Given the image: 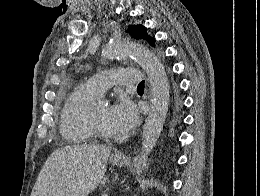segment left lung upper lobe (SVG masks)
Segmentation results:
<instances>
[{
    "instance_id": "left-lung-upper-lobe-1",
    "label": "left lung upper lobe",
    "mask_w": 260,
    "mask_h": 196,
    "mask_svg": "<svg viewBox=\"0 0 260 196\" xmlns=\"http://www.w3.org/2000/svg\"><path fill=\"white\" fill-rule=\"evenodd\" d=\"M127 32L134 39H144L151 46L155 45V39L150 37L143 25H130ZM181 107L182 100L179 94L178 85L175 81L170 83V93H169V109L166 121V127L163 136V143L165 146L171 145L175 142L176 130L179 126L181 120Z\"/></svg>"
}]
</instances>
